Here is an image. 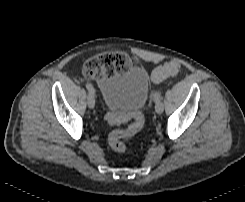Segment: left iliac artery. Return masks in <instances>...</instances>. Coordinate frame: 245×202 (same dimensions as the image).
Masks as SVG:
<instances>
[{"label":"left iliac artery","mask_w":245,"mask_h":202,"mask_svg":"<svg viewBox=\"0 0 245 202\" xmlns=\"http://www.w3.org/2000/svg\"><path fill=\"white\" fill-rule=\"evenodd\" d=\"M162 100V95L160 92H156L154 95H153V101L155 103L159 102Z\"/></svg>","instance_id":"44dca946"}]
</instances>
